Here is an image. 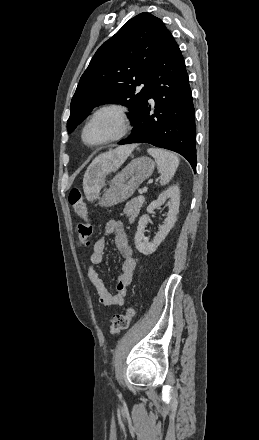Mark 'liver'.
<instances>
[{"instance_id": "liver-1", "label": "liver", "mask_w": 259, "mask_h": 440, "mask_svg": "<svg viewBox=\"0 0 259 440\" xmlns=\"http://www.w3.org/2000/svg\"><path fill=\"white\" fill-rule=\"evenodd\" d=\"M135 145H124L100 154L87 169L83 189L88 200L94 199L104 185L105 177L116 171L130 156Z\"/></svg>"}]
</instances>
